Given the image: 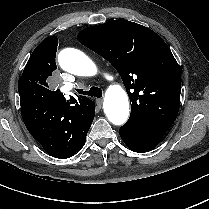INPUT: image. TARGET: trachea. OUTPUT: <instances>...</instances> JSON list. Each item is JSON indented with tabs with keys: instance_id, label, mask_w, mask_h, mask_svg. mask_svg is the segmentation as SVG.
<instances>
[{
	"instance_id": "trachea-1",
	"label": "trachea",
	"mask_w": 209,
	"mask_h": 209,
	"mask_svg": "<svg viewBox=\"0 0 209 209\" xmlns=\"http://www.w3.org/2000/svg\"><path fill=\"white\" fill-rule=\"evenodd\" d=\"M77 92L82 95H87L91 97H102V90L98 87H91L89 91H83L82 89H78Z\"/></svg>"
}]
</instances>
